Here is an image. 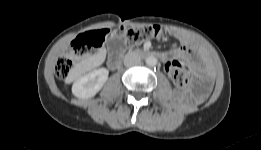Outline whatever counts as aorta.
<instances>
[{
    "instance_id": "obj_1",
    "label": "aorta",
    "mask_w": 261,
    "mask_h": 150,
    "mask_svg": "<svg viewBox=\"0 0 261 150\" xmlns=\"http://www.w3.org/2000/svg\"><path fill=\"white\" fill-rule=\"evenodd\" d=\"M157 58L154 56H149L146 58V64L150 67H154L157 65Z\"/></svg>"
}]
</instances>
